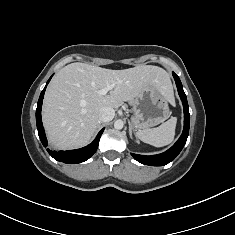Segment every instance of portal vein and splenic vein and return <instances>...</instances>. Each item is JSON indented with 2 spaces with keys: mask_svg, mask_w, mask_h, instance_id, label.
<instances>
[{
  "mask_svg": "<svg viewBox=\"0 0 235 235\" xmlns=\"http://www.w3.org/2000/svg\"><path fill=\"white\" fill-rule=\"evenodd\" d=\"M113 88H114V85H107L106 87L102 88L98 93L99 95H106Z\"/></svg>",
  "mask_w": 235,
  "mask_h": 235,
  "instance_id": "18ae733b",
  "label": "portal vein and splenic vein"
}]
</instances>
